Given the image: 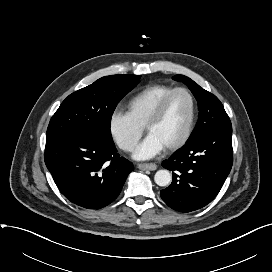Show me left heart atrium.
<instances>
[{"label":"left heart atrium","instance_id":"1","mask_svg":"<svg viewBox=\"0 0 272 272\" xmlns=\"http://www.w3.org/2000/svg\"><path fill=\"white\" fill-rule=\"evenodd\" d=\"M165 149L162 142L153 134H148L146 138L137 146L133 157L137 160L153 158Z\"/></svg>","mask_w":272,"mask_h":272}]
</instances>
